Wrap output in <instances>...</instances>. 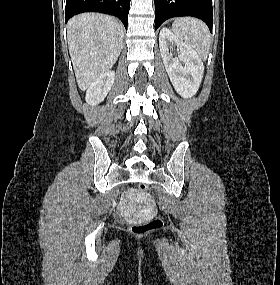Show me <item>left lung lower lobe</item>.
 <instances>
[{
    "mask_svg": "<svg viewBox=\"0 0 280 285\" xmlns=\"http://www.w3.org/2000/svg\"><path fill=\"white\" fill-rule=\"evenodd\" d=\"M155 30L172 17L193 16L203 20L212 32V0H154Z\"/></svg>",
    "mask_w": 280,
    "mask_h": 285,
    "instance_id": "1",
    "label": "left lung lower lobe"
}]
</instances>
